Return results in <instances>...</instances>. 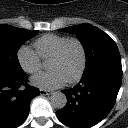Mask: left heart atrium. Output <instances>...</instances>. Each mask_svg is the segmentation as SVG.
<instances>
[{"instance_id": "obj_1", "label": "left heart atrium", "mask_w": 128, "mask_h": 128, "mask_svg": "<svg viewBox=\"0 0 128 128\" xmlns=\"http://www.w3.org/2000/svg\"><path fill=\"white\" fill-rule=\"evenodd\" d=\"M66 78L56 70L36 74L31 78V83L44 90H52L62 87L66 83Z\"/></svg>"}]
</instances>
